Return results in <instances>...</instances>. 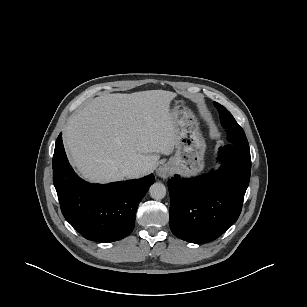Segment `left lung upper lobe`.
Here are the masks:
<instances>
[{"instance_id": "1", "label": "left lung upper lobe", "mask_w": 307, "mask_h": 307, "mask_svg": "<svg viewBox=\"0 0 307 307\" xmlns=\"http://www.w3.org/2000/svg\"><path fill=\"white\" fill-rule=\"evenodd\" d=\"M215 107L219 111L220 121L227 132V138L230 144L239 146L242 149L249 150V144L246 135L240 125L233 118L231 113L217 102H214Z\"/></svg>"}]
</instances>
